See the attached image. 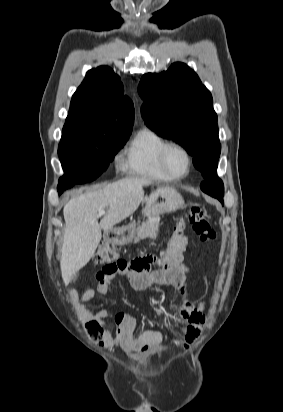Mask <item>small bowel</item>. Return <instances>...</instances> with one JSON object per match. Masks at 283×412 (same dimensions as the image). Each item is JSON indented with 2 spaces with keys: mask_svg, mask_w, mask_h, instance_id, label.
I'll return each mask as SVG.
<instances>
[{
  "mask_svg": "<svg viewBox=\"0 0 283 412\" xmlns=\"http://www.w3.org/2000/svg\"><path fill=\"white\" fill-rule=\"evenodd\" d=\"M117 275L125 276L129 286L137 291L146 290L155 284L175 286L184 297L179 314L187 322V325L178 328L182 333L181 343L187 344L197 339L206 321L204 314L206 304L204 301L195 302L189 296L191 270L179 254L167 264L166 268H154L151 274L127 269L115 275L99 277L95 286H88L83 290L82 295L76 299L82 318L87 322H96L103 328L108 320L114 323V327L103 331V339L107 345L120 346L130 358L140 360L151 351L157 350L163 340L157 329H148L136 334L137 320L129 313L113 314L105 308L93 312L89 308V302L96 295L106 297L110 284Z\"/></svg>",
  "mask_w": 283,
  "mask_h": 412,
  "instance_id": "obj_1",
  "label": "small bowel"
}]
</instances>
